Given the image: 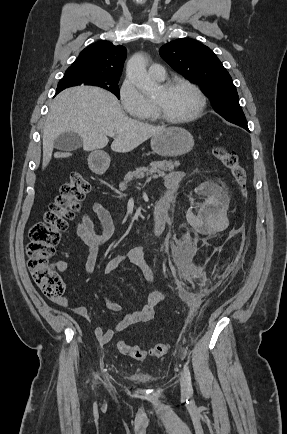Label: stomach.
<instances>
[{"label": "stomach", "mask_w": 287, "mask_h": 434, "mask_svg": "<svg viewBox=\"0 0 287 434\" xmlns=\"http://www.w3.org/2000/svg\"><path fill=\"white\" fill-rule=\"evenodd\" d=\"M150 144L154 153L163 157H176L190 152L194 146V139L187 130L170 127L153 136ZM89 161L94 167L106 168L110 163V157L103 151L95 150L90 154Z\"/></svg>", "instance_id": "obj_1"}]
</instances>
